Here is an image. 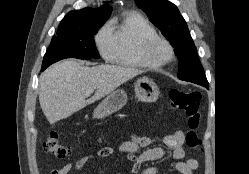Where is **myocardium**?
<instances>
[{"instance_id": "f54148a6", "label": "myocardium", "mask_w": 249, "mask_h": 174, "mask_svg": "<svg viewBox=\"0 0 249 174\" xmlns=\"http://www.w3.org/2000/svg\"><path fill=\"white\" fill-rule=\"evenodd\" d=\"M160 47L165 48L166 53L164 55L158 54ZM140 52L146 60L160 67L169 63L174 58V48L172 44L169 40L160 36L147 38L143 42Z\"/></svg>"}]
</instances>
